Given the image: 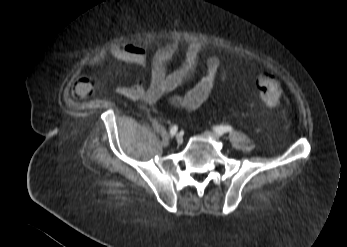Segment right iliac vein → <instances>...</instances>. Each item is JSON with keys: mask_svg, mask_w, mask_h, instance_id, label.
Wrapping results in <instances>:
<instances>
[{"mask_svg": "<svg viewBox=\"0 0 347 247\" xmlns=\"http://www.w3.org/2000/svg\"><path fill=\"white\" fill-rule=\"evenodd\" d=\"M176 141L178 144L182 143L183 142V137L181 134H177L176 135Z\"/></svg>", "mask_w": 347, "mask_h": 247, "instance_id": "right-iliac-vein-1", "label": "right iliac vein"}]
</instances>
